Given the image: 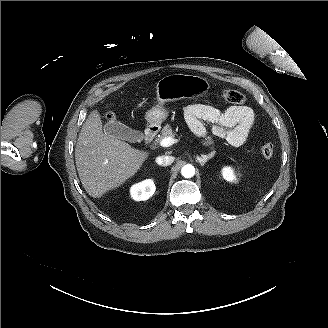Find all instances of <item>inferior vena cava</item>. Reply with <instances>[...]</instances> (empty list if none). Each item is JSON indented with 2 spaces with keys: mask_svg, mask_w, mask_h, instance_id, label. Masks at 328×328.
Masks as SVG:
<instances>
[{
  "mask_svg": "<svg viewBox=\"0 0 328 328\" xmlns=\"http://www.w3.org/2000/svg\"><path fill=\"white\" fill-rule=\"evenodd\" d=\"M173 161H174V157L168 156V155H163V156L156 158V162L162 166L171 165L173 163Z\"/></svg>",
  "mask_w": 328,
  "mask_h": 328,
  "instance_id": "1",
  "label": "inferior vena cava"
}]
</instances>
